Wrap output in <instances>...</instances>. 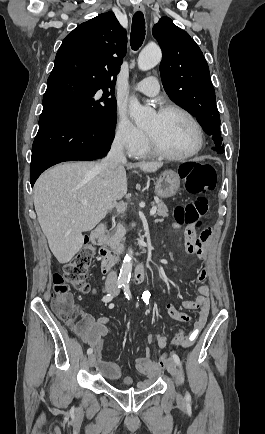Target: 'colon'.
I'll use <instances>...</instances> for the list:
<instances>
[{"instance_id":"obj_1","label":"colon","mask_w":265,"mask_h":434,"mask_svg":"<svg viewBox=\"0 0 265 434\" xmlns=\"http://www.w3.org/2000/svg\"><path fill=\"white\" fill-rule=\"evenodd\" d=\"M184 164L181 178L182 181H186V192L198 195V198L193 202L178 206L174 210L173 219L178 224L199 229L202 218L209 216V206L205 195L215 188L216 171L213 166L196 164L191 158H187ZM90 266L91 256L86 252H80L71 263L65 265L63 272L53 276V307L61 318L62 327L77 326V315L66 300V295L70 287L84 293L91 291V285L87 282V272ZM185 337V334L180 332L174 337L173 343L181 344ZM107 349L112 350V346L108 345ZM165 353L169 356L172 352L168 349ZM166 358L160 356L157 359L161 369L165 368L163 363Z\"/></svg>"}]
</instances>
